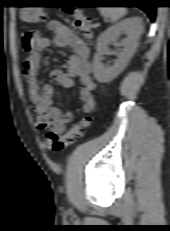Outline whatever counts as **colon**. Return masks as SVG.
Listing matches in <instances>:
<instances>
[{
    "label": "colon",
    "instance_id": "5ec220e1",
    "mask_svg": "<svg viewBox=\"0 0 170 231\" xmlns=\"http://www.w3.org/2000/svg\"><path fill=\"white\" fill-rule=\"evenodd\" d=\"M21 18L26 22H41L45 20V15L39 8H25L21 11ZM73 24L77 30L84 34L85 37H91L94 24L82 11H73ZM90 122L91 119L89 117H84L72 125V127L63 135H58L54 132L47 133L44 140L45 149L53 153L63 151L78 138L82 137L85 128L88 127Z\"/></svg>",
    "mask_w": 170,
    "mask_h": 231
}]
</instances>
